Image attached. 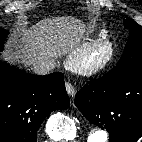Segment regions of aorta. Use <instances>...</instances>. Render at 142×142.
I'll return each mask as SVG.
<instances>
[{"label":"aorta","mask_w":142,"mask_h":142,"mask_svg":"<svg viewBox=\"0 0 142 142\" xmlns=\"http://www.w3.org/2000/svg\"><path fill=\"white\" fill-rule=\"evenodd\" d=\"M107 132L100 128H94L90 131L88 135L87 142H106Z\"/></svg>","instance_id":"obj_1"}]
</instances>
